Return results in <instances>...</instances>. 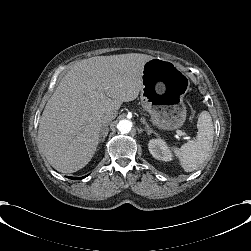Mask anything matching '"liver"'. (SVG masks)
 <instances>
[{"mask_svg":"<svg viewBox=\"0 0 251 251\" xmlns=\"http://www.w3.org/2000/svg\"><path fill=\"white\" fill-rule=\"evenodd\" d=\"M153 57L129 53L76 62L61 79L42 113L39 149L62 173L83 168L93 157L102 119L123 102L135 100L143 87L144 64Z\"/></svg>","mask_w":251,"mask_h":251,"instance_id":"6515ba94","label":"liver"}]
</instances>
